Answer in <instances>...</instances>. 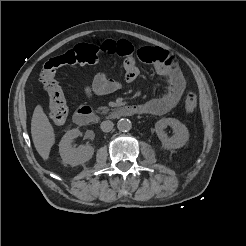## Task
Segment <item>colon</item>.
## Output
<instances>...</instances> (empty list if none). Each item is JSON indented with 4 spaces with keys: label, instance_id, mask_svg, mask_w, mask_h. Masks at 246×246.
<instances>
[{
    "label": "colon",
    "instance_id": "5ec220e1",
    "mask_svg": "<svg viewBox=\"0 0 246 246\" xmlns=\"http://www.w3.org/2000/svg\"><path fill=\"white\" fill-rule=\"evenodd\" d=\"M97 54L91 46L80 44L64 54L50 58L43 65L40 80L49 97V117L54 124H63L68 114L65 96L55 78L57 69L63 65L93 64L98 58ZM197 103V95L193 91L187 92L184 98L185 111L193 113L197 108Z\"/></svg>",
    "mask_w": 246,
    "mask_h": 246
}]
</instances>
